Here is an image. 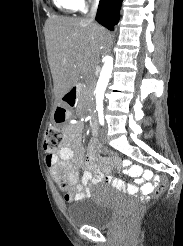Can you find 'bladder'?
I'll use <instances>...</instances> for the list:
<instances>
[{"label": "bladder", "mask_w": 183, "mask_h": 246, "mask_svg": "<svg viewBox=\"0 0 183 246\" xmlns=\"http://www.w3.org/2000/svg\"><path fill=\"white\" fill-rule=\"evenodd\" d=\"M80 204L67 210L69 221L75 226H108L117 209L118 199L113 189L97 184Z\"/></svg>", "instance_id": "bladder-1"}]
</instances>
